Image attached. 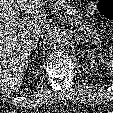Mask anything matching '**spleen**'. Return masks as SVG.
Returning <instances> with one entry per match:
<instances>
[{
    "label": "spleen",
    "mask_w": 113,
    "mask_h": 113,
    "mask_svg": "<svg viewBox=\"0 0 113 113\" xmlns=\"http://www.w3.org/2000/svg\"><path fill=\"white\" fill-rule=\"evenodd\" d=\"M107 69L113 75V55L111 56V59L107 62Z\"/></svg>",
    "instance_id": "3e777b00"
}]
</instances>
